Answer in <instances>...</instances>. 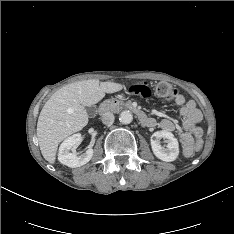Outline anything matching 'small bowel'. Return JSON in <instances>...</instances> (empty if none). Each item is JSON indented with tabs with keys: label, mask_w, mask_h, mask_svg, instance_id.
<instances>
[{
	"label": "small bowel",
	"mask_w": 234,
	"mask_h": 234,
	"mask_svg": "<svg viewBox=\"0 0 234 234\" xmlns=\"http://www.w3.org/2000/svg\"><path fill=\"white\" fill-rule=\"evenodd\" d=\"M176 105L181 106L180 119H181V133L180 139L182 148L185 154L190 153L191 143L193 138H199L202 135V130L198 126V123L202 119L200 110L196 107L194 101H186L182 94L174 91L172 96ZM147 127H158L164 131H174L178 127V121L173 118H164L160 121L150 118Z\"/></svg>",
	"instance_id": "c3829d8e"
}]
</instances>
